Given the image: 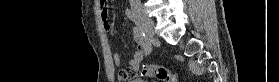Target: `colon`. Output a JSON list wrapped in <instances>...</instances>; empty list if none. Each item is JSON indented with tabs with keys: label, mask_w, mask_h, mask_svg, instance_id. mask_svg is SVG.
I'll list each match as a JSON object with an SVG mask.
<instances>
[{
	"label": "colon",
	"mask_w": 279,
	"mask_h": 82,
	"mask_svg": "<svg viewBox=\"0 0 279 82\" xmlns=\"http://www.w3.org/2000/svg\"><path fill=\"white\" fill-rule=\"evenodd\" d=\"M139 74L155 78L160 82H177L176 75L162 65L146 64L140 69Z\"/></svg>",
	"instance_id": "obj_1"
}]
</instances>
